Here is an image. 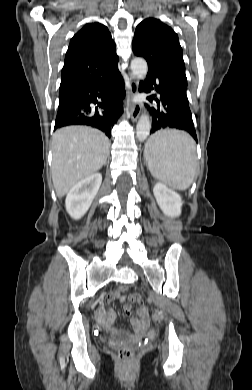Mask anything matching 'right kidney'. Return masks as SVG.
<instances>
[{
	"label": "right kidney",
	"mask_w": 252,
	"mask_h": 390,
	"mask_svg": "<svg viewBox=\"0 0 252 390\" xmlns=\"http://www.w3.org/2000/svg\"><path fill=\"white\" fill-rule=\"evenodd\" d=\"M102 182V175L94 173L79 181L68 192L65 206L73 219H80L88 211Z\"/></svg>",
	"instance_id": "ca27d5eb"
}]
</instances>
